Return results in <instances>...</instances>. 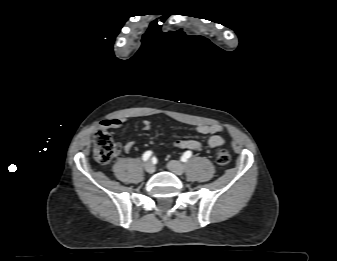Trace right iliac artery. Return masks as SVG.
Segmentation results:
<instances>
[{
	"label": "right iliac artery",
	"instance_id": "obj_1",
	"mask_svg": "<svg viewBox=\"0 0 337 261\" xmlns=\"http://www.w3.org/2000/svg\"><path fill=\"white\" fill-rule=\"evenodd\" d=\"M151 155H152L151 151H146L142 156V160L147 161L151 157Z\"/></svg>",
	"mask_w": 337,
	"mask_h": 261
}]
</instances>
